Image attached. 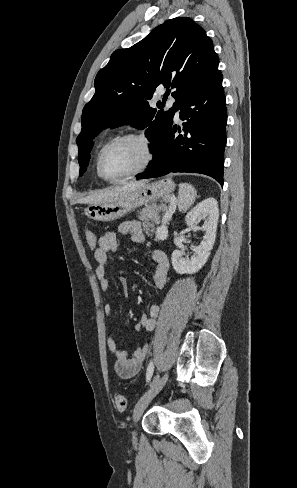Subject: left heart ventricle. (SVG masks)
Wrapping results in <instances>:
<instances>
[{"label": "left heart ventricle", "instance_id": "obj_1", "mask_svg": "<svg viewBox=\"0 0 297 488\" xmlns=\"http://www.w3.org/2000/svg\"><path fill=\"white\" fill-rule=\"evenodd\" d=\"M143 144L134 139L122 141L111 147L103 161L104 171L109 177H116L136 169L145 159Z\"/></svg>", "mask_w": 297, "mask_h": 488}]
</instances>
